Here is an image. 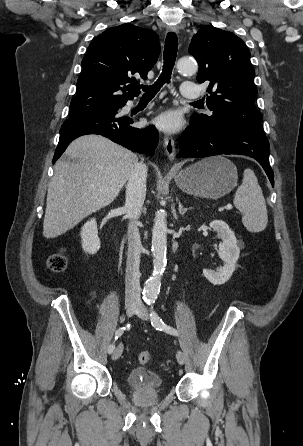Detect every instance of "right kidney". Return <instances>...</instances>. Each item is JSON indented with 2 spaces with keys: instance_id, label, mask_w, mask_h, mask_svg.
Listing matches in <instances>:
<instances>
[{
  "instance_id": "obj_1",
  "label": "right kidney",
  "mask_w": 303,
  "mask_h": 446,
  "mask_svg": "<svg viewBox=\"0 0 303 446\" xmlns=\"http://www.w3.org/2000/svg\"><path fill=\"white\" fill-rule=\"evenodd\" d=\"M82 239V248L84 252L95 254L100 249V239L98 238V230L95 219L87 221L80 232Z\"/></svg>"
}]
</instances>
